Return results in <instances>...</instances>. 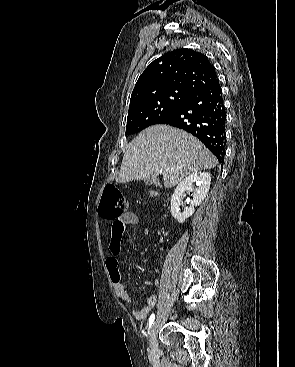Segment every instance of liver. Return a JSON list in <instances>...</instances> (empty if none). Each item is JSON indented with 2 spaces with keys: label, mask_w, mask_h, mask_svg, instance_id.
Segmentation results:
<instances>
[{
  "label": "liver",
  "mask_w": 295,
  "mask_h": 367,
  "mask_svg": "<svg viewBox=\"0 0 295 367\" xmlns=\"http://www.w3.org/2000/svg\"><path fill=\"white\" fill-rule=\"evenodd\" d=\"M217 164V158L191 134L167 125H154L129 143L116 181L156 180L163 170L164 186L171 188L191 173Z\"/></svg>",
  "instance_id": "liver-1"
}]
</instances>
